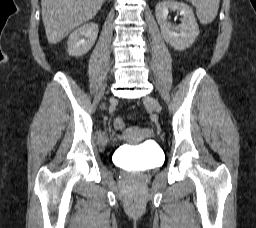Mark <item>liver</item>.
Returning a JSON list of instances; mask_svg holds the SVG:
<instances>
[{
	"label": "liver",
	"instance_id": "liver-1",
	"mask_svg": "<svg viewBox=\"0 0 256 228\" xmlns=\"http://www.w3.org/2000/svg\"><path fill=\"white\" fill-rule=\"evenodd\" d=\"M105 0H41L47 40L56 44L79 25L91 20Z\"/></svg>",
	"mask_w": 256,
	"mask_h": 228
}]
</instances>
